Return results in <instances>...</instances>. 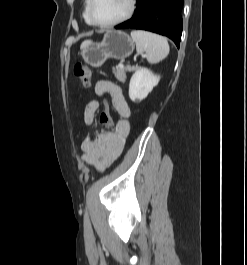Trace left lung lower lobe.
<instances>
[{"mask_svg":"<svg viewBox=\"0 0 247 265\" xmlns=\"http://www.w3.org/2000/svg\"><path fill=\"white\" fill-rule=\"evenodd\" d=\"M184 0H137L134 16L116 29H143L165 35L177 47L182 34L181 10Z\"/></svg>","mask_w":247,"mask_h":265,"instance_id":"left-lung-lower-lobe-1","label":"left lung lower lobe"}]
</instances>
